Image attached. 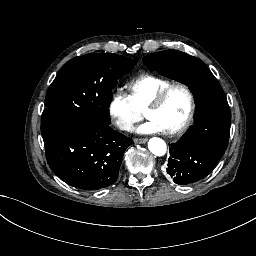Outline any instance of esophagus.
Segmentation results:
<instances>
[{
    "label": "esophagus",
    "instance_id": "1",
    "mask_svg": "<svg viewBox=\"0 0 256 256\" xmlns=\"http://www.w3.org/2000/svg\"><path fill=\"white\" fill-rule=\"evenodd\" d=\"M145 142H147V138H135L134 139V143H136V144H143Z\"/></svg>",
    "mask_w": 256,
    "mask_h": 256
}]
</instances>
